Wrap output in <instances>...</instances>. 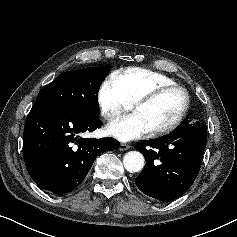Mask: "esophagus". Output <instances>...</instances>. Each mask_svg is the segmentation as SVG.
Wrapping results in <instances>:
<instances>
[{
  "label": "esophagus",
  "mask_w": 237,
  "mask_h": 237,
  "mask_svg": "<svg viewBox=\"0 0 237 237\" xmlns=\"http://www.w3.org/2000/svg\"><path fill=\"white\" fill-rule=\"evenodd\" d=\"M129 148H130V146L128 144H126V143H121L119 145V150H121V151L128 150Z\"/></svg>",
  "instance_id": "esophagus-1"
}]
</instances>
